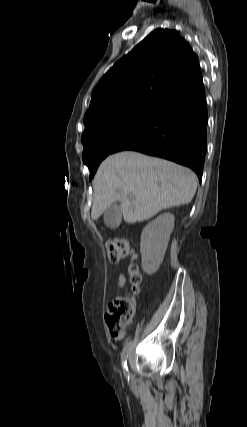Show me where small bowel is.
<instances>
[{"label":"small bowel","instance_id":"c3829d8e","mask_svg":"<svg viewBox=\"0 0 247 427\" xmlns=\"http://www.w3.org/2000/svg\"><path fill=\"white\" fill-rule=\"evenodd\" d=\"M125 284H126V278H125V275L121 273V274L119 275V278H118V285H119V287H120V288H124V287H125Z\"/></svg>","mask_w":247,"mask_h":427}]
</instances>
